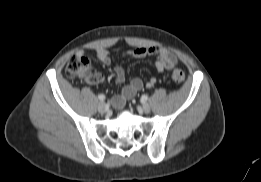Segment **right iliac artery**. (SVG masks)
I'll use <instances>...</instances> for the list:
<instances>
[{
  "label": "right iliac artery",
  "mask_w": 261,
  "mask_h": 182,
  "mask_svg": "<svg viewBox=\"0 0 261 182\" xmlns=\"http://www.w3.org/2000/svg\"><path fill=\"white\" fill-rule=\"evenodd\" d=\"M98 99H99L100 101H104V100L106 99V97H105L104 94H99V95H98Z\"/></svg>",
  "instance_id": "right-iliac-artery-1"
}]
</instances>
